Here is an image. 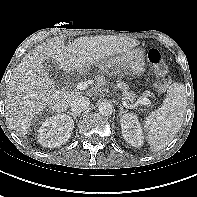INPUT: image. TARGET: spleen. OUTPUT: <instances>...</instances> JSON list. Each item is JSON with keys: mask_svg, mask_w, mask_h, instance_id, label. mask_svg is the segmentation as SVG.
<instances>
[{"mask_svg": "<svg viewBox=\"0 0 197 197\" xmlns=\"http://www.w3.org/2000/svg\"><path fill=\"white\" fill-rule=\"evenodd\" d=\"M186 106L185 86L178 82L171 84L162 106L144 120L146 138L152 151H160L172 141L183 124Z\"/></svg>", "mask_w": 197, "mask_h": 197, "instance_id": "spleen-1", "label": "spleen"}]
</instances>
